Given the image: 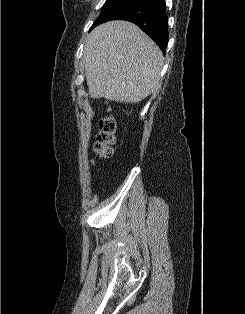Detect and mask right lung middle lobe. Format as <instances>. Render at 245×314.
I'll list each match as a JSON object with an SVG mask.
<instances>
[{
    "label": "right lung middle lobe",
    "mask_w": 245,
    "mask_h": 314,
    "mask_svg": "<svg viewBox=\"0 0 245 314\" xmlns=\"http://www.w3.org/2000/svg\"><path fill=\"white\" fill-rule=\"evenodd\" d=\"M126 1L128 0H106L99 17L95 20L91 28L98 25L107 15H109L113 10L121 6Z\"/></svg>",
    "instance_id": "right-lung-middle-lobe-1"
}]
</instances>
